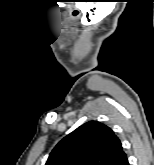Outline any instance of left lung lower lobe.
<instances>
[{
  "label": "left lung lower lobe",
  "instance_id": "left-lung-lower-lobe-1",
  "mask_svg": "<svg viewBox=\"0 0 154 165\" xmlns=\"http://www.w3.org/2000/svg\"><path fill=\"white\" fill-rule=\"evenodd\" d=\"M117 165H129V163H128V160H127V157H126V154L125 153H123V155H122V157H121V159H120V161L118 162V164Z\"/></svg>",
  "mask_w": 154,
  "mask_h": 165
}]
</instances>
